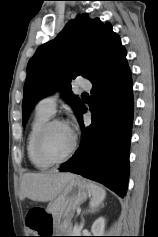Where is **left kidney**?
I'll list each match as a JSON object with an SVG mask.
<instances>
[{
	"label": "left kidney",
	"mask_w": 158,
	"mask_h": 237,
	"mask_svg": "<svg viewBox=\"0 0 158 237\" xmlns=\"http://www.w3.org/2000/svg\"><path fill=\"white\" fill-rule=\"evenodd\" d=\"M91 231L93 236H104L105 231V219L103 217L98 218L95 220L91 227Z\"/></svg>",
	"instance_id": "left-kidney-1"
}]
</instances>
